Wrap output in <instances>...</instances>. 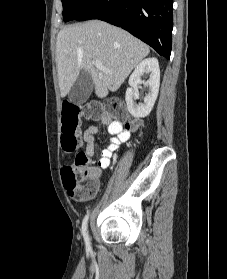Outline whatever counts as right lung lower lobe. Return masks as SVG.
Instances as JSON below:
<instances>
[{"mask_svg": "<svg viewBox=\"0 0 227 279\" xmlns=\"http://www.w3.org/2000/svg\"><path fill=\"white\" fill-rule=\"evenodd\" d=\"M173 0H92L76 20L100 19L122 27L170 58Z\"/></svg>", "mask_w": 227, "mask_h": 279, "instance_id": "98d812e1", "label": "right lung lower lobe"}]
</instances>
